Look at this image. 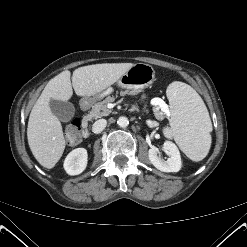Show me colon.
<instances>
[{
	"mask_svg": "<svg viewBox=\"0 0 247 247\" xmlns=\"http://www.w3.org/2000/svg\"><path fill=\"white\" fill-rule=\"evenodd\" d=\"M65 139L68 145L75 146L82 140L80 119L75 118L65 127Z\"/></svg>",
	"mask_w": 247,
	"mask_h": 247,
	"instance_id": "obj_1",
	"label": "colon"
}]
</instances>
